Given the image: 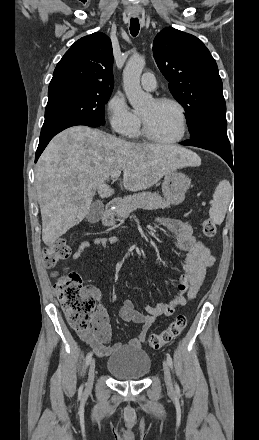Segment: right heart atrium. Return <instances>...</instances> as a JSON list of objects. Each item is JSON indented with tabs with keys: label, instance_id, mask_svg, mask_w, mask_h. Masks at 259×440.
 <instances>
[{
	"label": "right heart atrium",
	"instance_id": "d8ad5b80",
	"mask_svg": "<svg viewBox=\"0 0 259 440\" xmlns=\"http://www.w3.org/2000/svg\"><path fill=\"white\" fill-rule=\"evenodd\" d=\"M106 116L112 131L127 136L139 124V117L129 107L122 93H115L105 106Z\"/></svg>",
	"mask_w": 259,
	"mask_h": 440
}]
</instances>
